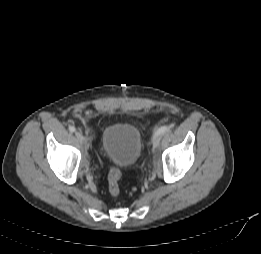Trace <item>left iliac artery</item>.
<instances>
[{
  "mask_svg": "<svg viewBox=\"0 0 261 254\" xmlns=\"http://www.w3.org/2000/svg\"><path fill=\"white\" fill-rule=\"evenodd\" d=\"M170 130V127L165 125L160 127L159 129L156 130V132L154 133L153 139L155 136L157 135H161V134H165L166 132H168Z\"/></svg>",
  "mask_w": 261,
  "mask_h": 254,
  "instance_id": "1",
  "label": "left iliac artery"
}]
</instances>
